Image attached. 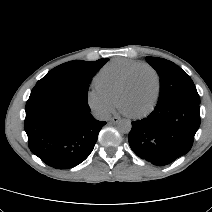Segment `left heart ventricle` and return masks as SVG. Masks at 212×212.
Segmentation results:
<instances>
[{
    "label": "left heart ventricle",
    "mask_w": 212,
    "mask_h": 212,
    "mask_svg": "<svg viewBox=\"0 0 212 212\" xmlns=\"http://www.w3.org/2000/svg\"><path fill=\"white\" fill-rule=\"evenodd\" d=\"M156 90L153 74L142 69L138 71L128 89L123 93L120 103L130 114L140 113L152 103Z\"/></svg>",
    "instance_id": "obj_1"
}]
</instances>
